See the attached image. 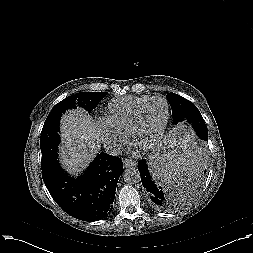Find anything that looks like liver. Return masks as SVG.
<instances>
[{"mask_svg": "<svg viewBox=\"0 0 253 253\" xmlns=\"http://www.w3.org/2000/svg\"><path fill=\"white\" fill-rule=\"evenodd\" d=\"M60 158L62 165L73 174L84 169L99 149L96 125L84 110L74 109L61 119Z\"/></svg>", "mask_w": 253, "mask_h": 253, "instance_id": "liver-1", "label": "liver"}]
</instances>
